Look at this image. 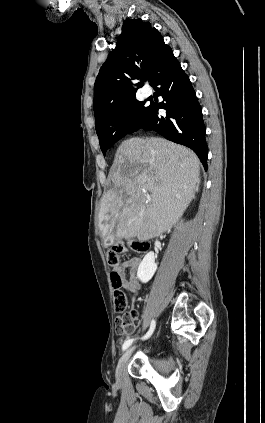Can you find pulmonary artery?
Segmentation results:
<instances>
[{
    "label": "pulmonary artery",
    "instance_id": "pulmonary-artery-1",
    "mask_svg": "<svg viewBox=\"0 0 265 423\" xmlns=\"http://www.w3.org/2000/svg\"><path fill=\"white\" fill-rule=\"evenodd\" d=\"M142 92H143L144 96H146V97L150 96V95H151V93H152V91H151V89H150V88H144V89L142 90Z\"/></svg>",
    "mask_w": 265,
    "mask_h": 423
}]
</instances>
